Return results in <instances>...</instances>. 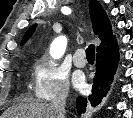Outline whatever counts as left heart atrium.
<instances>
[{"label": "left heart atrium", "instance_id": "39dd6f15", "mask_svg": "<svg viewBox=\"0 0 133 118\" xmlns=\"http://www.w3.org/2000/svg\"><path fill=\"white\" fill-rule=\"evenodd\" d=\"M74 84L79 90H83L86 86L84 77L82 75H77L74 79Z\"/></svg>", "mask_w": 133, "mask_h": 118}]
</instances>
